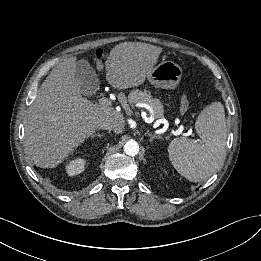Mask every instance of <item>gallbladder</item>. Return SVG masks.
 Masks as SVG:
<instances>
[{
	"mask_svg": "<svg viewBox=\"0 0 261 261\" xmlns=\"http://www.w3.org/2000/svg\"><path fill=\"white\" fill-rule=\"evenodd\" d=\"M76 79L80 83V89L83 95H91L99 87L97 75L92 66L85 59L77 62Z\"/></svg>",
	"mask_w": 261,
	"mask_h": 261,
	"instance_id": "1",
	"label": "gallbladder"
}]
</instances>
